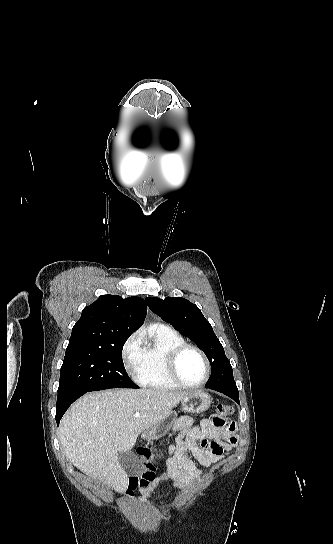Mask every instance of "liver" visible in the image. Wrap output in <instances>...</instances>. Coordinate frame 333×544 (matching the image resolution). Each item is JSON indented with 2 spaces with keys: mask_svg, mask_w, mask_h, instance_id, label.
<instances>
[{
  "mask_svg": "<svg viewBox=\"0 0 333 544\" xmlns=\"http://www.w3.org/2000/svg\"><path fill=\"white\" fill-rule=\"evenodd\" d=\"M187 394L165 389L85 394L60 422L61 447L80 471L122 493L128 485V473L117 453L130 450L141 432L166 418ZM136 412L140 417L133 416Z\"/></svg>",
  "mask_w": 333,
  "mask_h": 544,
  "instance_id": "1",
  "label": "liver"
}]
</instances>
